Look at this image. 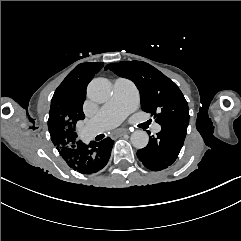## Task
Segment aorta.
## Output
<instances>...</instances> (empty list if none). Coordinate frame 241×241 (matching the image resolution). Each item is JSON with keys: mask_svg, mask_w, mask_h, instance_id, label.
Wrapping results in <instances>:
<instances>
[{"mask_svg": "<svg viewBox=\"0 0 241 241\" xmlns=\"http://www.w3.org/2000/svg\"><path fill=\"white\" fill-rule=\"evenodd\" d=\"M112 85L106 78L93 79L87 88L88 97L98 103H103L111 97ZM132 145L137 149L145 148L149 142L147 132L137 130L130 137Z\"/></svg>", "mask_w": 241, "mask_h": 241, "instance_id": "aorta-1", "label": "aorta"}]
</instances>
